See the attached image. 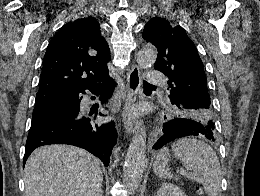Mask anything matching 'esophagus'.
Instances as JSON below:
<instances>
[{"mask_svg": "<svg viewBox=\"0 0 260 196\" xmlns=\"http://www.w3.org/2000/svg\"><path fill=\"white\" fill-rule=\"evenodd\" d=\"M127 86L129 89L128 100L124 106V128L127 133H134L139 127V118L131 112L134 106L138 92L141 88V75L137 65L132 66L127 74Z\"/></svg>", "mask_w": 260, "mask_h": 196, "instance_id": "34e87169", "label": "esophagus"}]
</instances>
